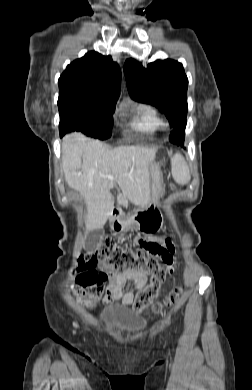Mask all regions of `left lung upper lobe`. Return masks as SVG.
<instances>
[{
	"label": "left lung upper lobe",
	"instance_id": "obj_1",
	"mask_svg": "<svg viewBox=\"0 0 252 390\" xmlns=\"http://www.w3.org/2000/svg\"><path fill=\"white\" fill-rule=\"evenodd\" d=\"M127 87L132 99L151 104L169 119L174 130L169 140L176 143L184 135L187 116L188 79L181 63L166 59L149 63L144 68L134 59L124 65Z\"/></svg>",
	"mask_w": 252,
	"mask_h": 390
}]
</instances>
